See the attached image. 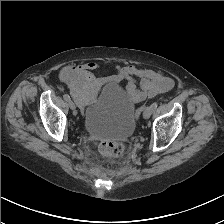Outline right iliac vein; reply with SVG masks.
Here are the masks:
<instances>
[{"instance_id":"right-iliac-vein-1","label":"right iliac vein","mask_w":224,"mask_h":224,"mask_svg":"<svg viewBox=\"0 0 224 224\" xmlns=\"http://www.w3.org/2000/svg\"><path fill=\"white\" fill-rule=\"evenodd\" d=\"M68 105H69V107H70L71 110H75L76 109V106H75V104H74L73 101L69 100L68 101Z\"/></svg>"}]
</instances>
